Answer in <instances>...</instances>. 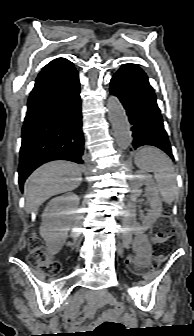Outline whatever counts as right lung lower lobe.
Segmentation results:
<instances>
[{"label":"right lung lower lobe","mask_w":194,"mask_h":336,"mask_svg":"<svg viewBox=\"0 0 194 336\" xmlns=\"http://www.w3.org/2000/svg\"><path fill=\"white\" fill-rule=\"evenodd\" d=\"M80 83L68 61L38 75L27 103L19 158V184L33 170L55 159L83 163Z\"/></svg>","instance_id":"1"}]
</instances>
